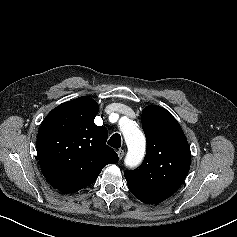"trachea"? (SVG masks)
I'll use <instances>...</instances> for the list:
<instances>
[{
	"label": "trachea",
	"instance_id": "trachea-1",
	"mask_svg": "<svg viewBox=\"0 0 237 237\" xmlns=\"http://www.w3.org/2000/svg\"><path fill=\"white\" fill-rule=\"evenodd\" d=\"M108 145L113 148H120L121 147V136L118 133L113 134L110 139L108 140Z\"/></svg>",
	"mask_w": 237,
	"mask_h": 237
}]
</instances>
